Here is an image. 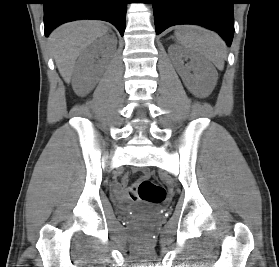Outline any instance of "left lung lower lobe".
Masks as SVG:
<instances>
[{"label":"left lung lower lobe","instance_id":"1","mask_svg":"<svg viewBox=\"0 0 279 267\" xmlns=\"http://www.w3.org/2000/svg\"><path fill=\"white\" fill-rule=\"evenodd\" d=\"M156 34L176 24H196L216 31L230 46L234 35V0H152Z\"/></svg>","mask_w":279,"mask_h":267}]
</instances>
